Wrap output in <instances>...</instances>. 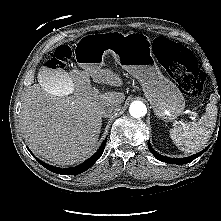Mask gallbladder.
Masks as SVG:
<instances>
[{
  "mask_svg": "<svg viewBox=\"0 0 221 221\" xmlns=\"http://www.w3.org/2000/svg\"><path fill=\"white\" fill-rule=\"evenodd\" d=\"M37 81L41 88L63 98L71 96L75 89L73 81L67 74L47 65L40 68Z\"/></svg>",
  "mask_w": 221,
  "mask_h": 221,
  "instance_id": "obj_1",
  "label": "gallbladder"
}]
</instances>
